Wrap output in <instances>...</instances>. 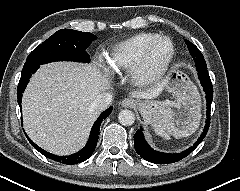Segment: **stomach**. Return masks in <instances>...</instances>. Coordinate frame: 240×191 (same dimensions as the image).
<instances>
[{"label": "stomach", "instance_id": "0dacf381", "mask_svg": "<svg viewBox=\"0 0 240 191\" xmlns=\"http://www.w3.org/2000/svg\"><path fill=\"white\" fill-rule=\"evenodd\" d=\"M165 88L176 96L175 101H139L138 109L145 121L152 119L166 109L179 129L197 127L200 120L201 98L196 86L181 70H171L165 80Z\"/></svg>", "mask_w": 240, "mask_h": 191}]
</instances>
